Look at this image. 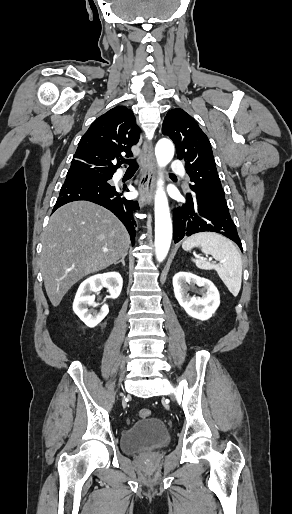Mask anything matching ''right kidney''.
<instances>
[{
	"label": "right kidney",
	"instance_id": "ca27d5eb",
	"mask_svg": "<svg viewBox=\"0 0 292 514\" xmlns=\"http://www.w3.org/2000/svg\"><path fill=\"white\" fill-rule=\"evenodd\" d=\"M103 286L109 290V298H118L123 286V280L118 272H107V274H96L84 280L80 284L75 300L73 302V310L78 318L88 326V328H95L107 316L109 308L107 304L101 306L99 312L97 310H88V306H100L94 302L95 296H90L92 292H99Z\"/></svg>",
	"mask_w": 292,
	"mask_h": 514
}]
</instances>
